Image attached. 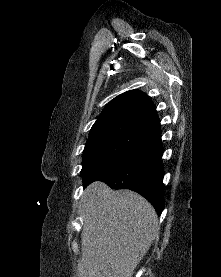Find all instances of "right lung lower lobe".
I'll list each match as a JSON object with an SVG mask.
<instances>
[{
    "label": "right lung lower lobe",
    "instance_id": "obj_1",
    "mask_svg": "<svg viewBox=\"0 0 221 277\" xmlns=\"http://www.w3.org/2000/svg\"><path fill=\"white\" fill-rule=\"evenodd\" d=\"M141 125L146 136L140 144L118 166L99 177L84 181V186L99 180L114 189H131L145 197L160 215L164 207L163 146L156 112L144 116Z\"/></svg>",
    "mask_w": 221,
    "mask_h": 277
}]
</instances>
